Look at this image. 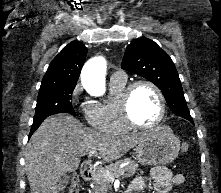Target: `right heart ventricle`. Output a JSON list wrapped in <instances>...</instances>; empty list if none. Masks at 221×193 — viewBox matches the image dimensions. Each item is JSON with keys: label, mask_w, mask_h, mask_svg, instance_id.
Segmentation results:
<instances>
[{"label": "right heart ventricle", "mask_w": 221, "mask_h": 193, "mask_svg": "<svg viewBox=\"0 0 221 193\" xmlns=\"http://www.w3.org/2000/svg\"><path fill=\"white\" fill-rule=\"evenodd\" d=\"M126 85V79H111L110 97L87 106L86 118L92 127L109 133H124L131 129L125 123L119 107V97Z\"/></svg>", "instance_id": "e07e8e85"}]
</instances>
